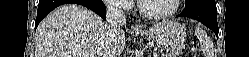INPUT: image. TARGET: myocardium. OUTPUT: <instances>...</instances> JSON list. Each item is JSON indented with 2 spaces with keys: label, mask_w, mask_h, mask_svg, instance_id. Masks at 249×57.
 I'll use <instances>...</instances> for the list:
<instances>
[{
  "label": "myocardium",
  "mask_w": 249,
  "mask_h": 57,
  "mask_svg": "<svg viewBox=\"0 0 249 57\" xmlns=\"http://www.w3.org/2000/svg\"><path fill=\"white\" fill-rule=\"evenodd\" d=\"M179 5H180V0H173V6L169 11H166L163 13H149L143 7V0L137 1V7H138L139 13L143 17L150 19V20H163L174 15L178 10Z\"/></svg>",
  "instance_id": "f54148a6"
}]
</instances>
